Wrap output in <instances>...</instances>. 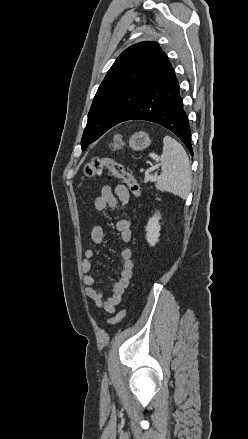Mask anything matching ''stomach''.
<instances>
[{
    "instance_id": "1",
    "label": "stomach",
    "mask_w": 248,
    "mask_h": 439,
    "mask_svg": "<svg viewBox=\"0 0 248 439\" xmlns=\"http://www.w3.org/2000/svg\"><path fill=\"white\" fill-rule=\"evenodd\" d=\"M151 143L150 137L145 132L134 133L129 139V146L135 151H140L147 148Z\"/></svg>"
}]
</instances>
